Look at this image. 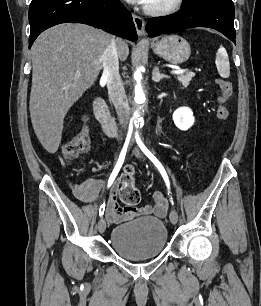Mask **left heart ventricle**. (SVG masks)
Here are the masks:
<instances>
[{"instance_id": "1", "label": "left heart ventricle", "mask_w": 261, "mask_h": 306, "mask_svg": "<svg viewBox=\"0 0 261 306\" xmlns=\"http://www.w3.org/2000/svg\"><path fill=\"white\" fill-rule=\"evenodd\" d=\"M171 0H150L148 5L159 7L168 4Z\"/></svg>"}]
</instances>
